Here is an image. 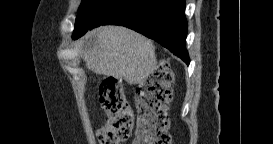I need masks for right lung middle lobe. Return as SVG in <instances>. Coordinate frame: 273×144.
<instances>
[{
  "mask_svg": "<svg viewBox=\"0 0 273 144\" xmlns=\"http://www.w3.org/2000/svg\"><path fill=\"white\" fill-rule=\"evenodd\" d=\"M111 1L113 0H82L75 22L73 39L84 35L94 18Z\"/></svg>",
  "mask_w": 273,
  "mask_h": 144,
  "instance_id": "right-lung-middle-lobe-1",
  "label": "right lung middle lobe"
}]
</instances>
